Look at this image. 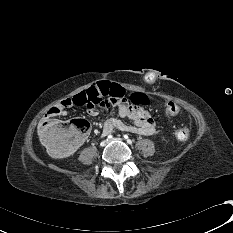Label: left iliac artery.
<instances>
[{
  "label": "left iliac artery",
  "instance_id": "1",
  "mask_svg": "<svg viewBox=\"0 0 233 233\" xmlns=\"http://www.w3.org/2000/svg\"><path fill=\"white\" fill-rule=\"evenodd\" d=\"M124 138H125V139H127V142H128L129 144H131V143H132V140H131V139H129V137H128L127 135H124Z\"/></svg>",
  "mask_w": 233,
  "mask_h": 233
}]
</instances>
